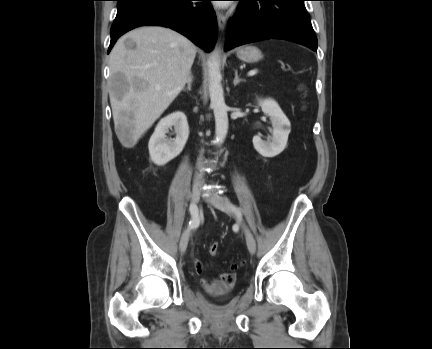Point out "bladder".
Listing matches in <instances>:
<instances>
[{"label":"bladder","instance_id":"bladder-1","mask_svg":"<svg viewBox=\"0 0 432 349\" xmlns=\"http://www.w3.org/2000/svg\"><path fill=\"white\" fill-rule=\"evenodd\" d=\"M226 297H227V293L216 297V301H218L220 303H224L226 301Z\"/></svg>","mask_w":432,"mask_h":349}]
</instances>
